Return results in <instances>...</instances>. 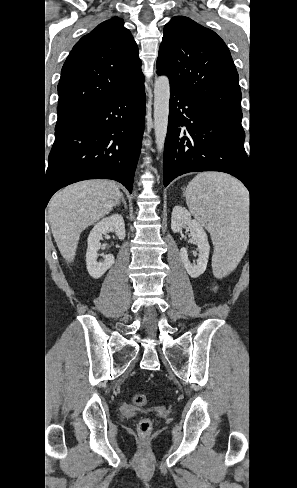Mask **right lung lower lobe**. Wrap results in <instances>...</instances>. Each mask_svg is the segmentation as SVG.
Segmentation results:
<instances>
[{"mask_svg": "<svg viewBox=\"0 0 297 488\" xmlns=\"http://www.w3.org/2000/svg\"><path fill=\"white\" fill-rule=\"evenodd\" d=\"M144 118L143 77L56 126L45 177V207L56 191L87 179H113L131 193Z\"/></svg>", "mask_w": 297, "mask_h": 488, "instance_id": "right-lung-lower-lobe-1", "label": "right lung lower lobe"}]
</instances>
